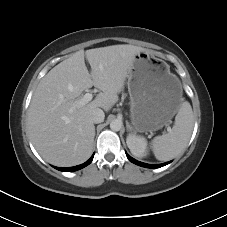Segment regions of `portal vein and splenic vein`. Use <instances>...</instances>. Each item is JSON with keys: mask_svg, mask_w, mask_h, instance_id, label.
Returning a JSON list of instances; mask_svg holds the SVG:
<instances>
[{"mask_svg": "<svg viewBox=\"0 0 227 227\" xmlns=\"http://www.w3.org/2000/svg\"><path fill=\"white\" fill-rule=\"evenodd\" d=\"M93 98V95L91 93H86L81 99H79L77 101V105L79 106H83L85 105L86 103H88L89 101H91ZM171 129L168 128V131H170Z\"/></svg>", "mask_w": 227, "mask_h": 227, "instance_id": "18ae733b", "label": "portal vein and splenic vein"}]
</instances>
